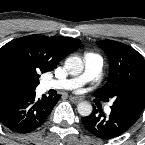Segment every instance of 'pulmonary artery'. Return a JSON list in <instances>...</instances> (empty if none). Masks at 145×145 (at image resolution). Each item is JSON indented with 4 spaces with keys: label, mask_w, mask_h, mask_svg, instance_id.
Masks as SVG:
<instances>
[{
    "label": "pulmonary artery",
    "mask_w": 145,
    "mask_h": 145,
    "mask_svg": "<svg viewBox=\"0 0 145 145\" xmlns=\"http://www.w3.org/2000/svg\"><path fill=\"white\" fill-rule=\"evenodd\" d=\"M102 59L97 54H85L84 56V72L74 78H62V79H48L43 82V89H76L82 85L98 80L101 76L102 71ZM106 111H110L107 107Z\"/></svg>",
    "instance_id": "obj_1"
}]
</instances>
